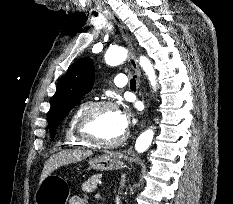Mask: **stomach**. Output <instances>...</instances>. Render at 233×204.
<instances>
[{
  "mask_svg": "<svg viewBox=\"0 0 233 204\" xmlns=\"http://www.w3.org/2000/svg\"><path fill=\"white\" fill-rule=\"evenodd\" d=\"M123 155L107 152L88 161L92 169L100 171L118 170L123 168ZM70 188L67 182L57 176H47L38 186L34 201L35 204H67Z\"/></svg>",
  "mask_w": 233,
  "mask_h": 204,
  "instance_id": "obj_1",
  "label": "stomach"
}]
</instances>
